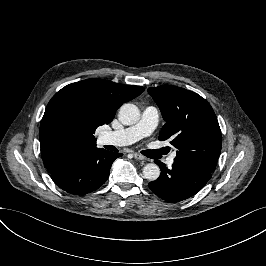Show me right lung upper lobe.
Returning <instances> with one entry per match:
<instances>
[{
	"label": "right lung upper lobe",
	"mask_w": 266,
	"mask_h": 266,
	"mask_svg": "<svg viewBox=\"0 0 266 266\" xmlns=\"http://www.w3.org/2000/svg\"><path fill=\"white\" fill-rule=\"evenodd\" d=\"M144 91L141 86L87 79L58 91L48 103L40 124L43 162L49 172L68 154L96 147L98 126L109 124L115 111Z\"/></svg>",
	"instance_id": "1"
}]
</instances>
